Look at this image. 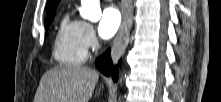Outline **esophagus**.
Segmentation results:
<instances>
[{
  "instance_id": "obj_1",
  "label": "esophagus",
  "mask_w": 221,
  "mask_h": 102,
  "mask_svg": "<svg viewBox=\"0 0 221 102\" xmlns=\"http://www.w3.org/2000/svg\"><path fill=\"white\" fill-rule=\"evenodd\" d=\"M132 15V1L124 0L122 24L111 49V55L114 63H116L118 59L122 56L128 45L130 30L132 26Z\"/></svg>"
}]
</instances>
